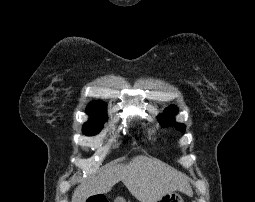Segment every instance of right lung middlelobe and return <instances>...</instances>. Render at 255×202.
Wrapping results in <instances>:
<instances>
[{
	"instance_id": "right-lung-middle-lobe-1",
	"label": "right lung middle lobe",
	"mask_w": 255,
	"mask_h": 202,
	"mask_svg": "<svg viewBox=\"0 0 255 202\" xmlns=\"http://www.w3.org/2000/svg\"><path fill=\"white\" fill-rule=\"evenodd\" d=\"M106 119L90 120L83 125V133L87 136H93L100 132Z\"/></svg>"
}]
</instances>
